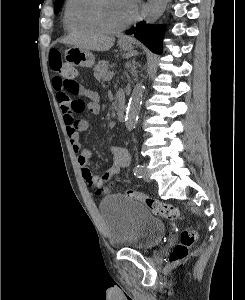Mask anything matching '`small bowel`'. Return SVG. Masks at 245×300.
<instances>
[{
	"mask_svg": "<svg viewBox=\"0 0 245 300\" xmlns=\"http://www.w3.org/2000/svg\"><path fill=\"white\" fill-rule=\"evenodd\" d=\"M53 88L56 92V98L63 114V120L66 125V133L77 156V162L82 168V174L88 186L100 195L104 192L105 184L118 176L124 168L130 163V155L127 149L111 145L109 151L113 156L111 167L101 176L92 172L91 153L80 141V133L86 131L90 126V120L87 117H78L81 112L87 111L89 114L96 115L99 112V97L96 93L87 90L82 85H76V90L70 92L66 89L64 83L55 76L53 78ZM70 95L86 96L89 102L85 103L84 109L77 111L73 108V101ZM92 179H99L100 186L91 184Z\"/></svg>",
	"mask_w": 245,
	"mask_h": 300,
	"instance_id": "small-bowel-1",
	"label": "small bowel"
}]
</instances>
